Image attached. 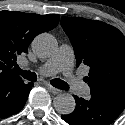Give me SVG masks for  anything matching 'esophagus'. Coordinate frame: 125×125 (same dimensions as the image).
I'll use <instances>...</instances> for the list:
<instances>
[{"label":"esophagus","mask_w":125,"mask_h":125,"mask_svg":"<svg viewBox=\"0 0 125 125\" xmlns=\"http://www.w3.org/2000/svg\"><path fill=\"white\" fill-rule=\"evenodd\" d=\"M47 87L50 90V92L53 93V94H59V93H61V90H59V89H57V88H55V87H53L51 85H48Z\"/></svg>","instance_id":"obj_1"}]
</instances>
